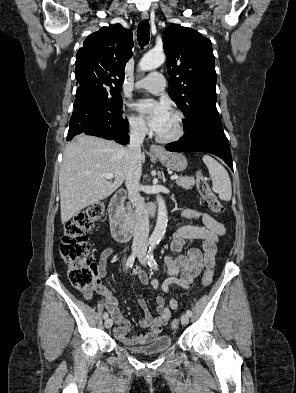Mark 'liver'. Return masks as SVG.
<instances>
[{
  "mask_svg": "<svg viewBox=\"0 0 296 393\" xmlns=\"http://www.w3.org/2000/svg\"><path fill=\"white\" fill-rule=\"evenodd\" d=\"M123 147L85 134L66 145L59 171L61 221L65 224L76 213L113 194L126 179ZM145 162L144 153L140 163ZM112 173L114 181L103 174Z\"/></svg>",
  "mask_w": 296,
  "mask_h": 393,
  "instance_id": "obj_1",
  "label": "liver"
}]
</instances>
